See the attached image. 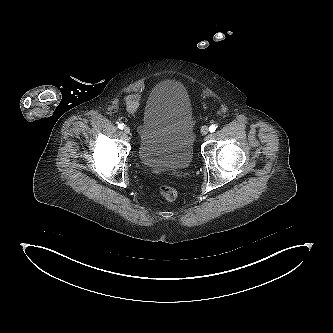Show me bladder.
I'll use <instances>...</instances> for the list:
<instances>
[{"mask_svg":"<svg viewBox=\"0 0 333 333\" xmlns=\"http://www.w3.org/2000/svg\"><path fill=\"white\" fill-rule=\"evenodd\" d=\"M193 114L184 85L159 82L150 92L139 127L138 156L149 168L179 170L193 158Z\"/></svg>","mask_w":333,"mask_h":333,"instance_id":"31cf9c89","label":"bladder"}]
</instances>
